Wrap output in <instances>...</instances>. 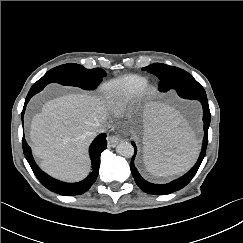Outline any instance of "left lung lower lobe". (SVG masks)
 Returning a JSON list of instances; mask_svg holds the SVG:
<instances>
[{"mask_svg": "<svg viewBox=\"0 0 243 243\" xmlns=\"http://www.w3.org/2000/svg\"><path fill=\"white\" fill-rule=\"evenodd\" d=\"M177 93L180 97L185 98V99L199 100L203 106L204 138H203L202 150H201L200 156H199L196 164L185 175H183L182 177H180L170 183H167V184H153V183H149L146 180H144L141 177V175L139 174V172L137 171V169L134 165V158L136 155L137 148H136L135 143L132 142V145L134 146V149H135V153L131 160V165H130L131 172L133 174L136 184L143 191H145L149 194L166 195V194H170L172 192H175V191L180 190L183 187H185L196 174V172L199 169L201 162L205 156V153H206V148H207V143H208V128L210 125L211 114H210L208 100H207L205 90L199 84V85H195L192 87L180 89L177 91Z\"/></svg>", "mask_w": 243, "mask_h": 243, "instance_id": "1", "label": "left lung lower lobe"}]
</instances>
